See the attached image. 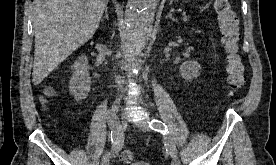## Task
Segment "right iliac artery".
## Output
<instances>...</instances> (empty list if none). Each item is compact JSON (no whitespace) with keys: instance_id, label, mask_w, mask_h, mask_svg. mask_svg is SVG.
Returning <instances> with one entry per match:
<instances>
[{"instance_id":"1","label":"right iliac artery","mask_w":276,"mask_h":165,"mask_svg":"<svg viewBox=\"0 0 276 165\" xmlns=\"http://www.w3.org/2000/svg\"><path fill=\"white\" fill-rule=\"evenodd\" d=\"M109 126L111 128V141H112V155L117 153L123 143V132L122 127L116 121L108 120Z\"/></svg>"}]
</instances>
